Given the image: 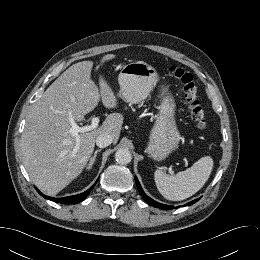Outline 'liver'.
<instances>
[{"label":"liver","instance_id":"obj_1","mask_svg":"<svg viewBox=\"0 0 260 260\" xmlns=\"http://www.w3.org/2000/svg\"><path fill=\"white\" fill-rule=\"evenodd\" d=\"M115 58L107 54L101 64ZM92 61L70 66L33 105L21 137L25 168L38 189L56 195L83 171L93 153L96 138L103 133L117 142L124 117L108 115L102 125L78 137L70 132L71 120H85L99 101L106 108H115L117 99L102 76L99 87L91 79Z\"/></svg>","mask_w":260,"mask_h":260}]
</instances>
